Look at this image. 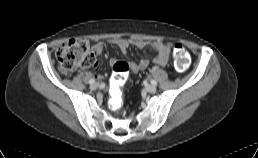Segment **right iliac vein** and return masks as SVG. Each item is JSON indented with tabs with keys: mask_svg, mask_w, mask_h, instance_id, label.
I'll list each match as a JSON object with an SVG mask.
<instances>
[{
	"mask_svg": "<svg viewBox=\"0 0 258 158\" xmlns=\"http://www.w3.org/2000/svg\"><path fill=\"white\" fill-rule=\"evenodd\" d=\"M98 87H99L98 83H93V84H91L90 89L91 90H96Z\"/></svg>",
	"mask_w": 258,
	"mask_h": 158,
	"instance_id": "1",
	"label": "right iliac vein"
}]
</instances>
